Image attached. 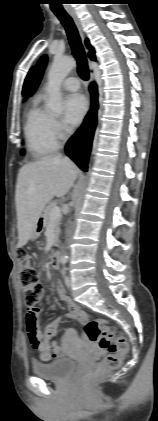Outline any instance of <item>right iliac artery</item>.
Listing matches in <instances>:
<instances>
[{
	"instance_id": "82829eb1",
	"label": "right iliac artery",
	"mask_w": 158,
	"mask_h": 421,
	"mask_svg": "<svg viewBox=\"0 0 158 421\" xmlns=\"http://www.w3.org/2000/svg\"><path fill=\"white\" fill-rule=\"evenodd\" d=\"M62 263H63V264H65V263H66V259H63V260H62Z\"/></svg>"
}]
</instances>
